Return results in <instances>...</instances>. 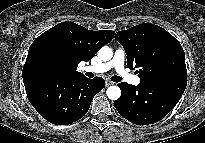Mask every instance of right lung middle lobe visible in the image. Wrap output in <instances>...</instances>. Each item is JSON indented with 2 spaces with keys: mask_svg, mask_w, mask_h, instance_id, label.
Listing matches in <instances>:
<instances>
[{
  "mask_svg": "<svg viewBox=\"0 0 205 143\" xmlns=\"http://www.w3.org/2000/svg\"><path fill=\"white\" fill-rule=\"evenodd\" d=\"M64 61V53L54 45H45L39 48L35 54V62L40 68L60 71Z\"/></svg>",
  "mask_w": 205,
  "mask_h": 143,
  "instance_id": "dd1d6c3e",
  "label": "right lung middle lobe"
}]
</instances>
